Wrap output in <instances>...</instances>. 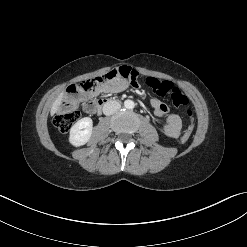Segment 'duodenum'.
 I'll return each mask as SVG.
<instances>
[{"label":"duodenum","mask_w":247,"mask_h":247,"mask_svg":"<svg viewBox=\"0 0 247 247\" xmlns=\"http://www.w3.org/2000/svg\"><path fill=\"white\" fill-rule=\"evenodd\" d=\"M116 101L113 99H103L98 102V112H101L103 108L107 105L113 104Z\"/></svg>","instance_id":"obj_1"}]
</instances>
